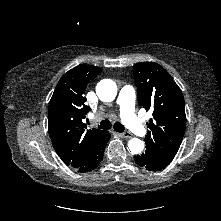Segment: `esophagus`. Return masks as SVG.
Wrapping results in <instances>:
<instances>
[{
	"label": "esophagus",
	"mask_w": 221,
	"mask_h": 221,
	"mask_svg": "<svg viewBox=\"0 0 221 221\" xmlns=\"http://www.w3.org/2000/svg\"><path fill=\"white\" fill-rule=\"evenodd\" d=\"M118 135L123 137V138H130L131 137L130 132H122V133H118Z\"/></svg>",
	"instance_id": "1"
}]
</instances>
